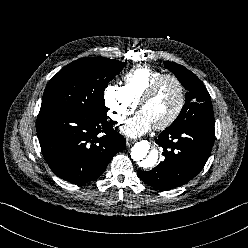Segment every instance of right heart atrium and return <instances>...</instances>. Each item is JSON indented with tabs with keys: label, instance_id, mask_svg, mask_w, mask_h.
<instances>
[{
	"label": "right heart atrium",
	"instance_id": "d8ad5b80",
	"mask_svg": "<svg viewBox=\"0 0 248 248\" xmlns=\"http://www.w3.org/2000/svg\"><path fill=\"white\" fill-rule=\"evenodd\" d=\"M104 101L109 117L116 124L122 123L136 108V104L130 100L123 87L115 84L106 86Z\"/></svg>",
	"mask_w": 248,
	"mask_h": 248
}]
</instances>
